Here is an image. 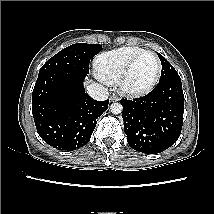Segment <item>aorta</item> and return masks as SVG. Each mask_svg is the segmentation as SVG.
I'll use <instances>...</instances> for the list:
<instances>
[{
	"mask_svg": "<svg viewBox=\"0 0 214 214\" xmlns=\"http://www.w3.org/2000/svg\"><path fill=\"white\" fill-rule=\"evenodd\" d=\"M122 110H123V107L120 103H112L110 106V111L113 114H119L122 112Z\"/></svg>",
	"mask_w": 214,
	"mask_h": 214,
	"instance_id": "762f6f07",
	"label": "aorta"
}]
</instances>
